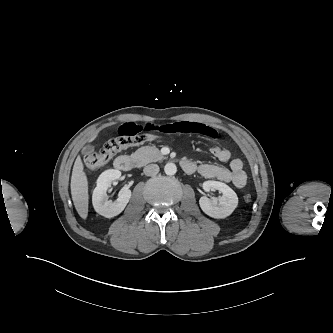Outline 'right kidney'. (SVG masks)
<instances>
[{"mask_svg": "<svg viewBox=\"0 0 333 333\" xmlns=\"http://www.w3.org/2000/svg\"><path fill=\"white\" fill-rule=\"evenodd\" d=\"M121 172L110 169L104 171L97 180V186L93 191L92 203L95 211L106 218H112L120 214L131 198V191L123 189L115 201L108 199L107 190L114 180L119 179Z\"/></svg>", "mask_w": 333, "mask_h": 333, "instance_id": "right-kidney-1", "label": "right kidney"}]
</instances>
